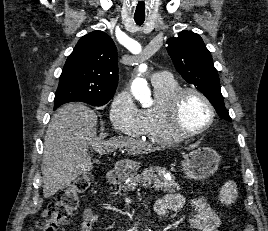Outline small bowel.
Instances as JSON below:
<instances>
[{
  "label": "small bowel",
  "mask_w": 268,
  "mask_h": 231,
  "mask_svg": "<svg viewBox=\"0 0 268 231\" xmlns=\"http://www.w3.org/2000/svg\"><path fill=\"white\" fill-rule=\"evenodd\" d=\"M189 206L193 210V215L189 217V225L196 231H217L219 217L209 200L205 197L188 199L181 194L168 193L155 203L156 213L164 215L169 211L177 212L184 206ZM81 231H92L97 214L91 207L84 209L82 214Z\"/></svg>",
  "instance_id": "obj_1"
}]
</instances>
